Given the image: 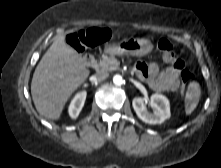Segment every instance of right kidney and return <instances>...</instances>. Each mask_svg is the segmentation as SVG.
Instances as JSON below:
<instances>
[{"mask_svg":"<svg viewBox=\"0 0 221 168\" xmlns=\"http://www.w3.org/2000/svg\"><path fill=\"white\" fill-rule=\"evenodd\" d=\"M86 99V91H82L75 95L69 106V115L71 118H77L84 106Z\"/></svg>","mask_w":221,"mask_h":168,"instance_id":"ca27d5eb","label":"right kidney"}]
</instances>
